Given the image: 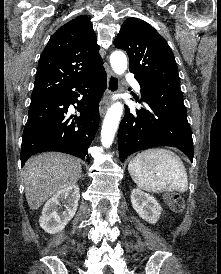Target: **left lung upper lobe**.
<instances>
[{
    "mask_svg": "<svg viewBox=\"0 0 221 274\" xmlns=\"http://www.w3.org/2000/svg\"><path fill=\"white\" fill-rule=\"evenodd\" d=\"M129 56V71L158 92L183 96L178 67L168 43L148 23L128 18L114 40Z\"/></svg>",
    "mask_w": 221,
    "mask_h": 274,
    "instance_id": "obj_1",
    "label": "left lung upper lobe"
}]
</instances>
